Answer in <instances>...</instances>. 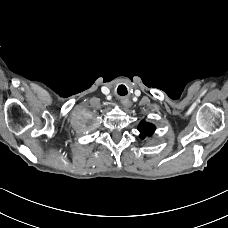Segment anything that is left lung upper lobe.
Listing matches in <instances>:
<instances>
[{
	"mask_svg": "<svg viewBox=\"0 0 228 228\" xmlns=\"http://www.w3.org/2000/svg\"><path fill=\"white\" fill-rule=\"evenodd\" d=\"M138 130L140 131V138L144 139L153 135L155 131V126L143 120L140 122Z\"/></svg>",
	"mask_w": 228,
	"mask_h": 228,
	"instance_id": "5c2ea615",
	"label": "left lung upper lobe"
}]
</instances>
